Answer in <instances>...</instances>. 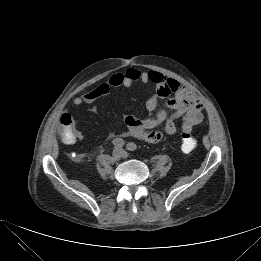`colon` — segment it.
Wrapping results in <instances>:
<instances>
[{"label": "colon", "instance_id": "5ec220e1", "mask_svg": "<svg viewBox=\"0 0 261 261\" xmlns=\"http://www.w3.org/2000/svg\"><path fill=\"white\" fill-rule=\"evenodd\" d=\"M61 137L67 144H71L76 137V122L69 113H64L60 118ZM197 141L190 133L181 135V148L189 153L196 148Z\"/></svg>", "mask_w": 261, "mask_h": 261}]
</instances>
